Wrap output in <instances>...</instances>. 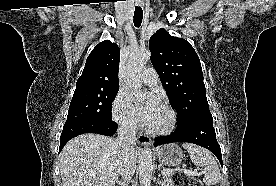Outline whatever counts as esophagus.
Listing matches in <instances>:
<instances>
[{"instance_id":"34e87169","label":"esophagus","mask_w":276,"mask_h":186,"mask_svg":"<svg viewBox=\"0 0 276 186\" xmlns=\"http://www.w3.org/2000/svg\"><path fill=\"white\" fill-rule=\"evenodd\" d=\"M137 5L142 6L144 5L143 2H141L140 0L136 2ZM138 142L139 144L143 145V146H150L151 145V138L144 135V134H139L138 135Z\"/></svg>"}]
</instances>
